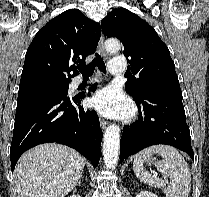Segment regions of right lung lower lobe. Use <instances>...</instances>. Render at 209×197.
<instances>
[{"mask_svg": "<svg viewBox=\"0 0 209 197\" xmlns=\"http://www.w3.org/2000/svg\"><path fill=\"white\" fill-rule=\"evenodd\" d=\"M83 97L66 94L17 104L10 149L12 171L26 150L47 142L74 148L97 167L103 134L97 113L80 106Z\"/></svg>", "mask_w": 209, "mask_h": 197, "instance_id": "98d812e1", "label": "right lung lower lobe"}]
</instances>
